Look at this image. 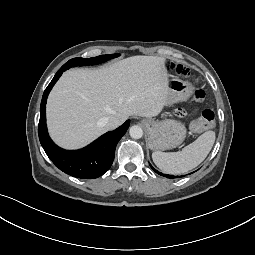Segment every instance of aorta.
I'll return each instance as SVG.
<instances>
[{
  "instance_id": "aorta-1",
  "label": "aorta",
  "mask_w": 255,
  "mask_h": 255,
  "mask_svg": "<svg viewBox=\"0 0 255 255\" xmlns=\"http://www.w3.org/2000/svg\"><path fill=\"white\" fill-rule=\"evenodd\" d=\"M129 134L134 139H139L143 136V130L140 126L134 125L129 129Z\"/></svg>"
}]
</instances>
